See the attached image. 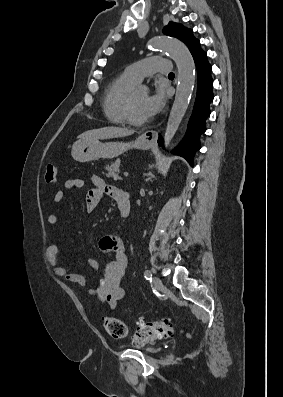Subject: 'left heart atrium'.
<instances>
[{"instance_id": "1", "label": "left heart atrium", "mask_w": 283, "mask_h": 397, "mask_svg": "<svg viewBox=\"0 0 283 397\" xmlns=\"http://www.w3.org/2000/svg\"><path fill=\"white\" fill-rule=\"evenodd\" d=\"M164 104V95L160 90H157L151 95H147L144 102V112L147 117L157 114Z\"/></svg>"}]
</instances>
